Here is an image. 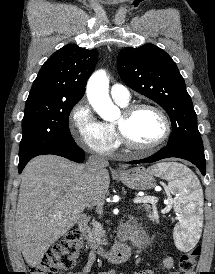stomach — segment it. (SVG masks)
<instances>
[{"label":"stomach","instance_id":"stomach-1","mask_svg":"<svg viewBox=\"0 0 215 274\" xmlns=\"http://www.w3.org/2000/svg\"><path fill=\"white\" fill-rule=\"evenodd\" d=\"M119 179L135 190H149L156 184L153 174L144 167H134L119 173Z\"/></svg>","mask_w":215,"mask_h":274}]
</instances>
